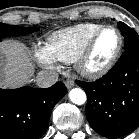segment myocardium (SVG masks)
<instances>
[{
    "mask_svg": "<svg viewBox=\"0 0 139 139\" xmlns=\"http://www.w3.org/2000/svg\"><path fill=\"white\" fill-rule=\"evenodd\" d=\"M108 29L114 30L118 36V44H117L116 50L111 56V58L103 66L99 68H90L87 63L93 51L96 40L104 31ZM123 43H124V40H123L122 33L117 27L113 25H103L92 34V36L89 38L86 45L84 46V48L78 55L75 61V66H76L77 71L82 76L89 78V79H98V78L105 76L112 70V68L117 63L120 57L122 48H123Z\"/></svg>",
    "mask_w": 139,
    "mask_h": 139,
    "instance_id": "obj_1",
    "label": "myocardium"
}]
</instances>
